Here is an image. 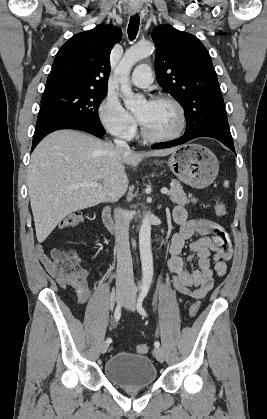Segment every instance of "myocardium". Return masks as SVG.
<instances>
[{"label":"myocardium","instance_id":"1","mask_svg":"<svg viewBox=\"0 0 267 419\" xmlns=\"http://www.w3.org/2000/svg\"><path fill=\"white\" fill-rule=\"evenodd\" d=\"M150 101H153V102L165 101V102L171 103L178 111L179 124H178V127L176 128V130L174 132H172L171 134L158 136V135H153V134L149 133L139 120L140 132H141V135L143 136V138L150 141V142H156V143L168 142V141H172V140L177 139L183 133V131L186 127L187 119H186V113H185V109H184L183 105L176 98H174L170 95H166V94H160V95L153 96L150 99Z\"/></svg>","mask_w":267,"mask_h":419}]
</instances>
